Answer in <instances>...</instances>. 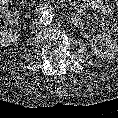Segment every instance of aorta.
Wrapping results in <instances>:
<instances>
[{
	"instance_id": "762f6f07",
	"label": "aorta",
	"mask_w": 118,
	"mask_h": 118,
	"mask_svg": "<svg viewBox=\"0 0 118 118\" xmlns=\"http://www.w3.org/2000/svg\"><path fill=\"white\" fill-rule=\"evenodd\" d=\"M41 22L44 24V25H49L52 23L53 21V15L49 12H44L42 15H41Z\"/></svg>"
}]
</instances>
